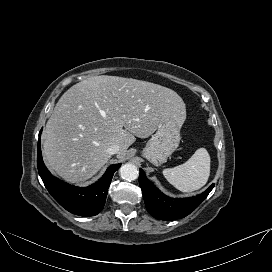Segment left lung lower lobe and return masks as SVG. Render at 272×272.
<instances>
[{
  "instance_id": "left-lung-lower-lobe-1",
  "label": "left lung lower lobe",
  "mask_w": 272,
  "mask_h": 272,
  "mask_svg": "<svg viewBox=\"0 0 272 272\" xmlns=\"http://www.w3.org/2000/svg\"><path fill=\"white\" fill-rule=\"evenodd\" d=\"M139 184L147 211L159 220H175L183 218L193 212L213 189L212 184L205 192L190 198L175 199L164 195L150 182L140 169Z\"/></svg>"
}]
</instances>
